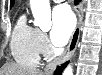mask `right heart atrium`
I'll return each mask as SVG.
<instances>
[{"label": "right heart atrium", "mask_w": 102, "mask_h": 75, "mask_svg": "<svg viewBox=\"0 0 102 75\" xmlns=\"http://www.w3.org/2000/svg\"><path fill=\"white\" fill-rule=\"evenodd\" d=\"M38 48H39L40 55L44 57L50 56L51 46L47 39V36L43 32H40L39 37H38Z\"/></svg>", "instance_id": "1"}]
</instances>
